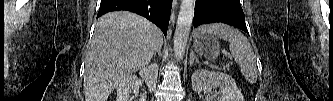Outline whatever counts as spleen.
Masks as SVG:
<instances>
[{
  "mask_svg": "<svg viewBox=\"0 0 333 101\" xmlns=\"http://www.w3.org/2000/svg\"><path fill=\"white\" fill-rule=\"evenodd\" d=\"M203 33L214 34L229 42V49L241 68L245 80L253 84L257 81L256 59L247 38L237 29L222 23L204 25L194 32V37Z\"/></svg>",
  "mask_w": 333,
  "mask_h": 101,
  "instance_id": "1",
  "label": "spleen"
}]
</instances>
